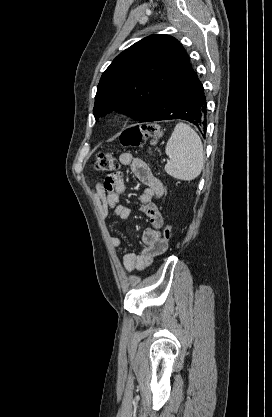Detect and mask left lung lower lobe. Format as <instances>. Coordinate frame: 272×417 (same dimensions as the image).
<instances>
[{"mask_svg":"<svg viewBox=\"0 0 272 417\" xmlns=\"http://www.w3.org/2000/svg\"><path fill=\"white\" fill-rule=\"evenodd\" d=\"M206 112L204 88L189 63L141 122L182 119L193 123L204 137Z\"/></svg>","mask_w":272,"mask_h":417,"instance_id":"left-lung-lower-lobe-1","label":"left lung lower lobe"}]
</instances>
